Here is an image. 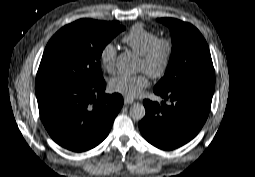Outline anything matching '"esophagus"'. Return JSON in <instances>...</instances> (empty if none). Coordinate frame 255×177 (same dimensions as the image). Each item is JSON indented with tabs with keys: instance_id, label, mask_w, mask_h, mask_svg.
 Segmentation results:
<instances>
[{
	"instance_id": "esophagus-1",
	"label": "esophagus",
	"mask_w": 255,
	"mask_h": 177,
	"mask_svg": "<svg viewBox=\"0 0 255 177\" xmlns=\"http://www.w3.org/2000/svg\"><path fill=\"white\" fill-rule=\"evenodd\" d=\"M133 103H135V101H134V100H132V99H128V98H124V104H125V105L133 104Z\"/></svg>"
}]
</instances>
